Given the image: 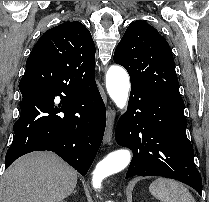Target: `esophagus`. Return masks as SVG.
<instances>
[{"label": "esophagus", "instance_id": "34e87169", "mask_svg": "<svg viewBox=\"0 0 209 202\" xmlns=\"http://www.w3.org/2000/svg\"><path fill=\"white\" fill-rule=\"evenodd\" d=\"M115 121V111L111 108L107 111V123L104 134V144H109L111 142L114 130Z\"/></svg>", "mask_w": 209, "mask_h": 202}]
</instances>
